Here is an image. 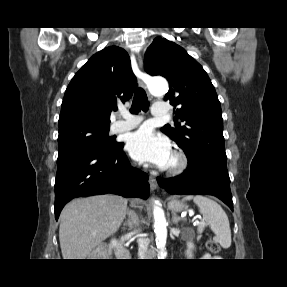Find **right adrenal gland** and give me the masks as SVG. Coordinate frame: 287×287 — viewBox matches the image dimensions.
<instances>
[{"mask_svg":"<svg viewBox=\"0 0 287 287\" xmlns=\"http://www.w3.org/2000/svg\"><path fill=\"white\" fill-rule=\"evenodd\" d=\"M127 215L129 218L123 224L125 226H128L129 229L132 230L133 228H135V226L137 224L136 215L132 211H128Z\"/></svg>","mask_w":287,"mask_h":287,"instance_id":"1","label":"right adrenal gland"}]
</instances>
